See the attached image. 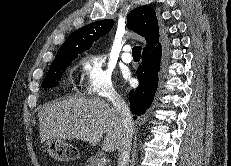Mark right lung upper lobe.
Instances as JSON below:
<instances>
[{
  "label": "right lung upper lobe",
  "instance_id": "cb5924a9",
  "mask_svg": "<svg viewBox=\"0 0 231 166\" xmlns=\"http://www.w3.org/2000/svg\"><path fill=\"white\" fill-rule=\"evenodd\" d=\"M127 27L143 36L147 44L143 53L150 52L159 43V25L154 9L150 6H140L127 15ZM113 20H100L90 23L69 35L57 51L56 57L76 55L89 49L92 43L106 35L113 27Z\"/></svg>",
  "mask_w": 231,
  "mask_h": 166
}]
</instances>
